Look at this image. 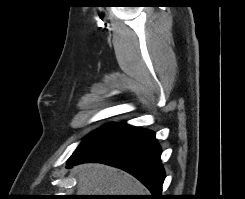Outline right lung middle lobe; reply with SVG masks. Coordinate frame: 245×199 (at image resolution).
<instances>
[{
	"mask_svg": "<svg viewBox=\"0 0 245 199\" xmlns=\"http://www.w3.org/2000/svg\"><path fill=\"white\" fill-rule=\"evenodd\" d=\"M119 123H109L100 129H97L93 133H91L89 136H87L83 142L78 146V148L75 150L74 153L86 148L87 146L91 145L92 143L98 141L102 137H104L106 134H108L110 131H112Z\"/></svg>",
	"mask_w": 245,
	"mask_h": 199,
	"instance_id": "1",
	"label": "right lung middle lobe"
}]
</instances>
